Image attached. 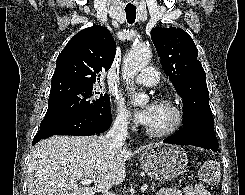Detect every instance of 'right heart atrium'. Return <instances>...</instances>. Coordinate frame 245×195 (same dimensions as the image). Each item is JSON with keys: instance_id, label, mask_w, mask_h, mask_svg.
<instances>
[{"instance_id": "obj_1", "label": "right heart atrium", "mask_w": 245, "mask_h": 195, "mask_svg": "<svg viewBox=\"0 0 245 195\" xmlns=\"http://www.w3.org/2000/svg\"><path fill=\"white\" fill-rule=\"evenodd\" d=\"M132 122V117L124 103L120 100L115 102L114 123L120 128H127Z\"/></svg>"}]
</instances>
